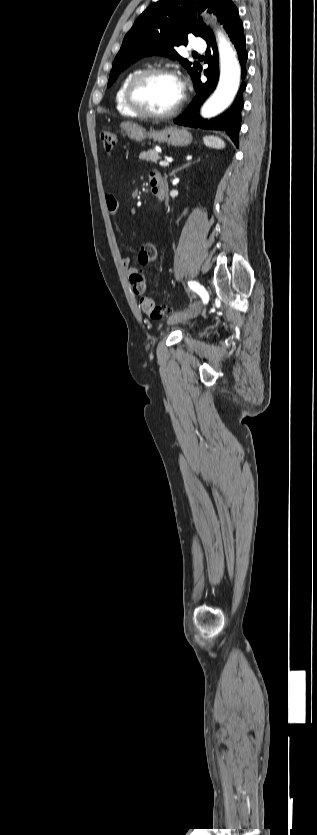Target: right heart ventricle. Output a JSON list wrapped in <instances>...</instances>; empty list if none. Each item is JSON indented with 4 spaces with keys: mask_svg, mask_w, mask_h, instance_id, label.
<instances>
[{
    "mask_svg": "<svg viewBox=\"0 0 317 835\" xmlns=\"http://www.w3.org/2000/svg\"><path fill=\"white\" fill-rule=\"evenodd\" d=\"M140 71H141V70L135 69V70H132V71H130L129 73H127V74L124 76V78L122 79V81L120 82V84H119V86H118V88H117V90H116V94H115V103H116V108H117V110H118L121 114H123V115L130 116V117H137V116H139L137 113H135V112H134V111H133V110L129 107V105H128L127 101H126L125 93H126L127 86H128V84H129V82L131 81V79H132V78H133L136 74H138Z\"/></svg>",
    "mask_w": 317,
    "mask_h": 835,
    "instance_id": "obj_1",
    "label": "right heart ventricle"
}]
</instances>
